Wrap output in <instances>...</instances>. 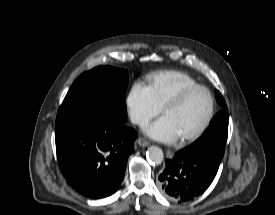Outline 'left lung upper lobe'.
Segmentation results:
<instances>
[{
	"instance_id": "obj_1",
	"label": "left lung upper lobe",
	"mask_w": 275,
	"mask_h": 215,
	"mask_svg": "<svg viewBox=\"0 0 275 215\" xmlns=\"http://www.w3.org/2000/svg\"><path fill=\"white\" fill-rule=\"evenodd\" d=\"M216 99L221 105L222 111L213 118L204 134L183 150L189 155L209 159L220 164L228 136L229 115L226 103L219 91H216Z\"/></svg>"
}]
</instances>
